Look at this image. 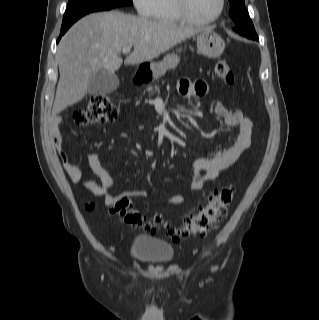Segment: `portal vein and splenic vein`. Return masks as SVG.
I'll use <instances>...</instances> for the list:
<instances>
[{"instance_id":"portal-vein-and-splenic-vein-1","label":"portal vein and splenic vein","mask_w":319,"mask_h":320,"mask_svg":"<svg viewBox=\"0 0 319 320\" xmlns=\"http://www.w3.org/2000/svg\"><path fill=\"white\" fill-rule=\"evenodd\" d=\"M122 51H123V53L127 54V53H129V52L131 51V47H130V46L124 47V48L122 49Z\"/></svg>"}]
</instances>
